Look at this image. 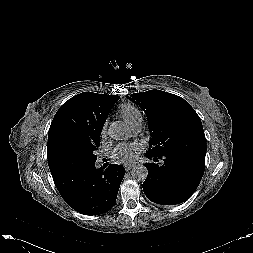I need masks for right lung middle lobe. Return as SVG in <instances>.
<instances>
[{
	"label": "right lung middle lobe",
	"mask_w": 253,
	"mask_h": 253,
	"mask_svg": "<svg viewBox=\"0 0 253 253\" xmlns=\"http://www.w3.org/2000/svg\"><path fill=\"white\" fill-rule=\"evenodd\" d=\"M100 146V138L94 142L71 144L63 148L54 158L52 172L55 174L96 162L95 150Z\"/></svg>",
	"instance_id": "right-lung-middle-lobe-1"
}]
</instances>
